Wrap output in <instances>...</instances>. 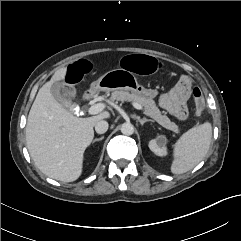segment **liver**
Here are the masks:
<instances>
[{
	"label": "liver",
	"instance_id": "1",
	"mask_svg": "<svg viewBox=\"0 0 241 241\" xmlns=\"http://www.w3.org/2000/svg\"><path fill=\"white\" fill-rule=\"evenodd\" d=\"M66 67L55 71L45 83L30 109L26 125V145L36 167L46 176L73 182L82 174L85 149L94 137L95 124L110 114L79 118L59 104L50 92L56 81L64 79Z\"/></svg>",
	"mask_w": 241,
	"mask_h": 241
}]
</instances>
